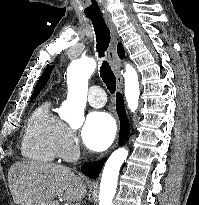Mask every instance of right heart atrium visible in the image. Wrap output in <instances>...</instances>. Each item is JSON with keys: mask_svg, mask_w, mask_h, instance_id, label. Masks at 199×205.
Wrapping results in <instances>:
<instances>
[{"mask_svg": "<svg viewBox=\"0 0 199 205\" xmlns=\"http://www.w3.org/2000/svg\"><path fill=\"white\" fill-rule=\"evenodd\" d=\"M78 151L79 143L76 133L68 126H65L60 135L59 156L71 160L77 156Z\"/></svg>", "mask_w": 199, "mask_h": 205, "instance_id": "1", "label": "right heart atrium"}]
</instances>
